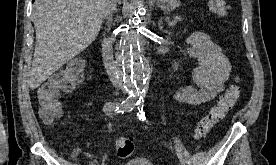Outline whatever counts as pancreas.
Masks as SVG:
<instances>
[{
    "instance_id": "obj_1",
    "label": "pancreas",
    "mask_w": 276,
    "mask_h": 165,
    "mask_svg": "<svg viewBox=\"0 0 276 165\" xmlns=\"http://www.w3.org/2000/svg\"><path fill=\"white\" fill-rule=\"evenodd\" d=\"M175 20H176V21H180L181 18H180V17H175Z\"/></svg>"
}]
</instances>
